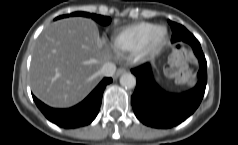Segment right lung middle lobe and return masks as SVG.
<instances>
[{
    "instance_id": "obj_1",
    "label": "right lung middle lobe",
    "mask_w": 238,
    "mask_h": 145,
    "mask_svg": "<svg viewBox=\"0 0 238 145\" xmlns=\"http://www.w3.org/2000/svg\"><path fill=\"white\" fill-rule=\"evenodd\" d=\"M68 16L91 17L92 19H94L95 21H97L98 23H100L102 25H108L111 21V19L109 17L96 15V14H89V13H86V12H74V13H71L69 15L58 16L57 18H55V20L60 19V18H64V17H68Z\"/></svg>"
}]
</instances>
